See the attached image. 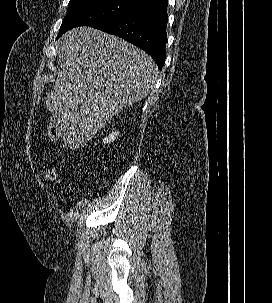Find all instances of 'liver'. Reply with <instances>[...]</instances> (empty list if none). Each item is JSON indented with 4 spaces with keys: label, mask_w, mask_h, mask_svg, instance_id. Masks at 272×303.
<instances>
[{
    "label": "liver",
    "mask_w": 272,
    "mask_h": 303,
    "mask_svg": "<svg viewBox=\"0 0 272 303\" xmlns=\"http://www.w3.org/2000/svg\"><path fill=\"white\" fill-rule=\"evenodd\" d=\"M153 59L127 41L92 27L59 39L58 71L46 108L70 149L86 145L113 116L145 98L158 76Z\"/></svg>",
    "instance_id": "1"
}]
</instances>
